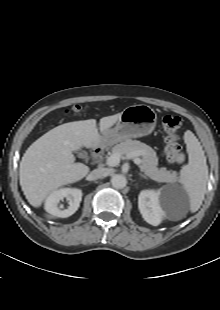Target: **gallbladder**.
Masks as SVG:
<instances>
[{"mask_svg": "<svg viewBox=\"0 0 220 310\" xmlns=\"http://www.w3.org/2000/svg\"><path fill=\"white\" fill-rule=\"evenodd\" d=\"M76 153H77L78 157H80V158L83 157V154H82V153H80V152H76Z\"/></svg>", "mask_w": 220, "mask_h": 310, "instance_id": "gallbladder-1", "label": "gallbladder"}]
</instances>
